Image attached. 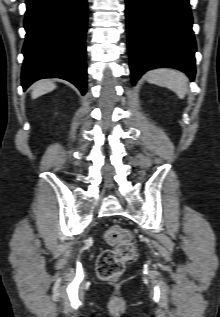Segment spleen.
Instances as JSON below:
<instances>
[{
	"instance_id": "spleen-1",
	"label": "spleen",
	"mask_w": 220,
	"mask_h": 317,
	"mask_svg": "<svg viewBox=\"0 0 220 317\" xmlns=\"http://www.w3.org/2000/svg\"><path fill=\"white\" fill-rule=\"evenodd\" d=\"M148 82L167 87L183 98L187 92V77L184 73L172 68H157L146 73Z\"/></svg>"
}]
</instances>
